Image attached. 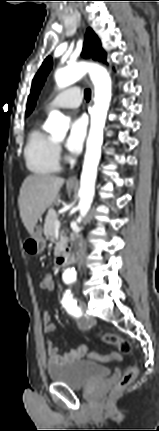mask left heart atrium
Wrapping results in <instances>:
<instances>
[{"label": "left heart atrium", "instance_id": "39dd6f15", "mask_svg": "<svg viewBox=\"0 0 159 431\" xmlns=\"http://www.w3.org/2000/svg\"><path fill=\"white\" fill-rule=\"evenodd\" d=\"M87 131V120L84 116L75 118L69 128L66 148L69 152L77 154L81 151Z\"/></svg>", "mask_w": 159, "mask_h": 431}]
</instances>
